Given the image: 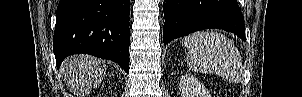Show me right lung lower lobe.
I'll return each mask as SVG.
<instances>
[{
    "instance_id": "obj_1",
    "label": "right lung lower lobe",
    "mask_w": 302,
    "mask_h": 97,
    "mask_svg": "<svg viewBox=\"0 0 302 97\" xmlns=\"http://www.w3.org/2000/svg\"><path fill=\"white\" fill-rule=\"evenodd\" d=\"M130 0H60L54 32L57 68L65 57L86 53L129 70Z\"/></svg>"
}]
</instances>
